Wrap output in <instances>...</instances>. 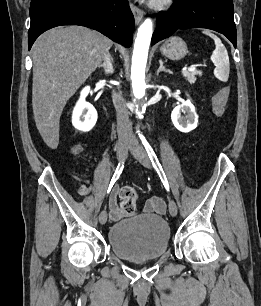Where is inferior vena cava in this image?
<instances>
[{
    "label": "inferior vena cava",
    "instance_id": "1",
    "mask_svg": "<svg viewBox=\"0 0 261 306\" xmlns=\"http://www.w3.org/2000/svg\"><path fill=\"white\" fill-rule=\"evenodd\" d=\"M112 100L117 113V132L118 135L131 136V123L125 101L120 93L113 91Z\"/></svg>",
    "mask_w": 261,
    "mask_h": 306
}]
</instances>
